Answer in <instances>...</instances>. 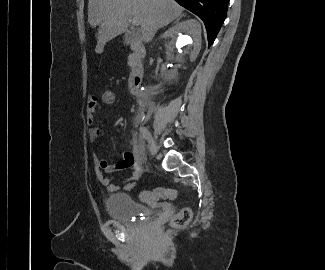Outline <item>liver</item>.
I'll return each instance as SVG.
<instances>
[{"label":"liver","instance_id":"6515ba94","mask_svg":"<svg viewBox=\"0 0 325 270\" xmlns=\"http://www.w3.org/2000/svg\"><path fill=\"white\" fill-rule=\"evenodd\" d=\"M183 8L174 0H89L88 22L99 26L97 50L106 42L126 32L128 17H136L141 39L150 42L158 29L181 16Z\"/></svg>","mask_w":325,"mask_h":270}]
</instances>
